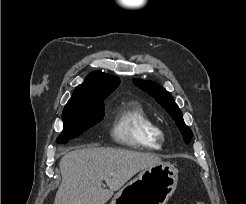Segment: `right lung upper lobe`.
Returning <instances> with one entry per match:
<instances>
[{"label":"right lung upper lobe","mask_w":246,"mask_h":204,"mask_svg":"<svg viewBox=\"0 0 246 204\" xmlns=\"http://www.w3.org/2000/svg\"><path fill=\"white\" fill-rule=\"evenodd\" d=\"M119 84L120 80L112 75L92 72L75 88L67 105L81 104L95 97H107Z\"/></svg>","instance_id":"obj_1"}]
</instances>
